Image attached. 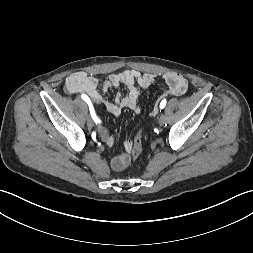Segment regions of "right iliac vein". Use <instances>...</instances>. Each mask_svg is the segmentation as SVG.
Segmentation results:
<instances>
[{"instance_id": "63e3f726", "label": "right iliac vein", "mask_w": 253, "mask_h": 253, "mask_svg": "<svg viewBox=\"0 0 253 253\" xmlns=\"http://www.w3.org/2000/svg\"><path fill=\"white\" fill-rule=\"evenodd\" d=\"M87 124H88L89 127L94 126V121L92 120V118L90 116L87 118Z\"/></svg>"}]
</instances>
